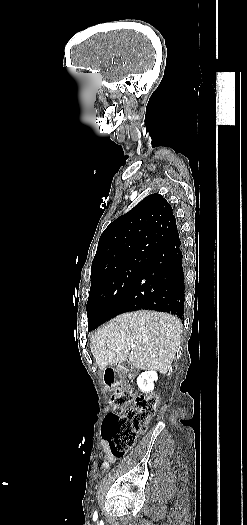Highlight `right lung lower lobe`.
<instances>
[{
  "label": "right lung lower lobe",
  "mask_w": 247,
  "mask_h": 525,
  "mask_svg": "<svg viewBox=\"0 0 247 525\" xmlns=\"http://www.w3.org/2000/svg\"><path fill=\"white\" fill-rule=\"evenodd\" d=\"M182 259L181 241L177 232L148 254L142 272L119 304L115 311L116 315L149 309L171 312L182 318L184 308Z\"/></svg>",
  "instance_id": "1"
}]
</instances>
